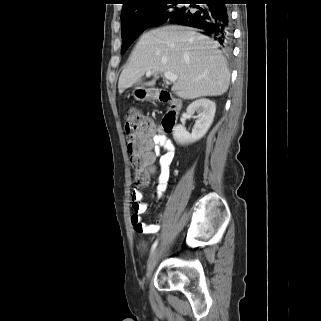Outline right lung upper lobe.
Instances as JSON below:
<instances>
[{
	"label": "right lung upper lobe",
	"instance_id": "obj_1",
	"mask_svg": "<svg viewBox=\"0 0 321 321\" xmlns=\"http://www.w3.org/2000/svg\"><path fill=\"white\" fill-rule=\"evenodd\" d=\"M161 0H124L121 18L138 12L146 6L152 5Z\"/></svg>",
	"mask_w": 321,
	"mask_h": 321
}]
</instances>
